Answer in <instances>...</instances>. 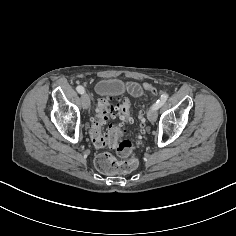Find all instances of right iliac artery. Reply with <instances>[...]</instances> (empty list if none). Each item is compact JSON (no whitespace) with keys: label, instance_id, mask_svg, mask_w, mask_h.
I'll return each mask as SVG.
<instances>
[{"label":"right iliac artery","instance_id":"82829eb1","mask_svg":"<svg viewBox=\"0 0 236 236\" xmlns=\"http://www.w3.org/2000/svg\"><path fill=\"white\" fill-rule=\"evenodd\" d=\"M76 90H77L78 93H80V94H83V93L85 92V90H84V88H83L82 86H78V87L76 88Z\"/></svg>","mask_w":236,"mask_h":236}]
</instances>
